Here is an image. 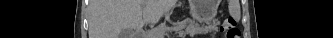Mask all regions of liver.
I'll return each mask as SVG.
<instances>
[{
  "label": "liver",
  "instance_id": "liver-1",
  "mask_svg": "<svg viewBox=\"0 0 333 38\" xmlns=\"http://www.w3.org/2000/svg\"><path fill=\"white\" fill-rule=\"evenodd\" d=\"M176 0H91L89 38H119L123 29L155 23Z\"/></svg>",
  "mask_w": 333,
  "mask_h": 38
}]
</instances>
